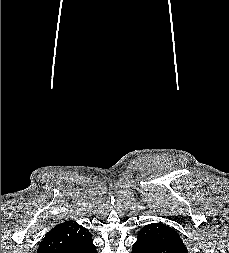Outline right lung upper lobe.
I'll return each mask as SVG.
<instances>
[{
  "label": "right lung upper lobe",
  "instance_id": "obj_1",
  "mask_svg": "<svg viewBox=\"0 0 229 253\" xmlns=\"http://www.w3.org/2000/svg\"><path fill=\"white\" fill-rule=\"evenodd\" d=\"M91 233L73 221H65L52 228L41 241L37 253H65L92 240Z\"/></svg>",
  "mask_w": 229,
  "mask_h": 253
}]
</instances>
